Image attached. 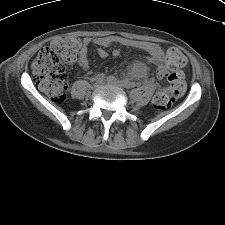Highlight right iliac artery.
I'll list each match as a JSON object with an SVG mask.
<instances>
[{
  "label": "right iliac artery",
  "mask_w": 225,
  "mask_h": 225,
  "mask_svg": "<svg viewBox=\"0 0 225 225\" xmlns=\"http://www.w3.org/2000/svg\"><path fill=\"white\" fill-rule=\"evenodd\" d=\"M105 79V74L103 73H99L97 76H96V80L97 81H103Z\"/></svg>",
  "instance_id": "obj_1"
}]
</instances>
